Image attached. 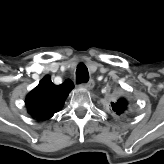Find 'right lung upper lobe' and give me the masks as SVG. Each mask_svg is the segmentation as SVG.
<instances>
[{
	"label": "right lung upper lobe",
	"mask_w": 164,
	"mask_h": 164,
	"mask_svg": "<svg viewBox=\"0 0 164 164\" xmlns=\"http://www.w3.org/2000/svg\"><path fill=\"white\" fill-rule=\"evenodd\" d=\"M74 88L70 80L54 85L50 76H45L27 96L26 106L29 114L41 119L51 118L60 110L69 92Z\"/></svg>",
	"instance_id": "right-lung-upper-lobe-1"
}]
</instances>
